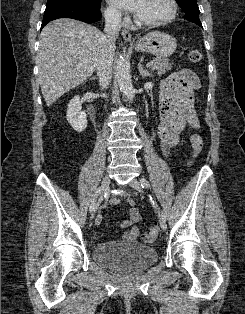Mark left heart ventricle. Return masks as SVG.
Masks as SVG:
<instances>
[{"label":"left heart ventricle","mask_w":245,"mask_h":314,"mask_svg":"<svg viewBox=\"0 0 245 314\" xmlns=\"http://www.w3.org/2000/svg\"><path fill=\"white\" fill-rule=\"evenodd\" d=\"M170 11L168 0H144L138 18L145 21H154L166 16Z\"/></svg>","instance_id":"1"}]
</instances>
